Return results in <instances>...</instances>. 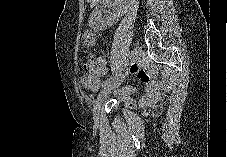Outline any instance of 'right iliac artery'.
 I'll use <instances>...</instances> for the list:
<instances>
[{
	"label": "right iliac artery",
	"instance_id": "obj_1",
	"mask_svg": "<svg viewBox=\"0 0 227 157\" xmlns=\"http://www.w3.org/2000/svg\"><path fill=\"white\" fill-rule=\"evenodd\" d=\"M130 52L126 51L124 54V61L121 65L118 66V69H115V75L111 76L110 78L106 79L103 83H102V87H105L106 85H108L118 74H120V70H122L123 68L126 67V65L129 62V56Z\"/></svg>",
	"mask_w": 227,
	"mask_h": 157
}]
</instances>
